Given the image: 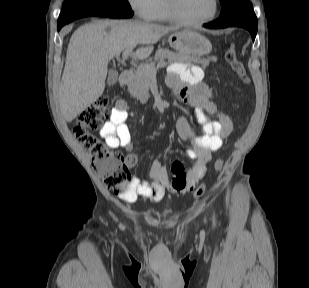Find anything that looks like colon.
Returning a JSON list of instances; mask_svg holds the SVG:
<instances>
[{
    "instance_id": "colon-1",
    "label": "colon",
    "mask_w": 309,
    "mask_h": 288,
    "mask_svg": "<svg viewBox=\"0 0 309 288\" xmlns=\"http://www.w3.org/2000/svg\"><path fill=\"white\" fill-rule=\"evenodd\" d=\"M224 57L239 78L244 83H249L245 67L238 58L236 49L229 47ZM110 113L109 99L106 96L98 97L78 115L73 133L81 147L90 154L92 166L104 186L115 194H124L130 190L132 185V176L128 170L126 158L120 152L113 151L92 132L102 125ZM222 164L223 160L218 159L214 164L215 169H220ZM169 189L172 192L170 186ZM205 189L204 182L199 184L194 193L195 198L202 197Z\"/></svg>"
}]
</instances>
